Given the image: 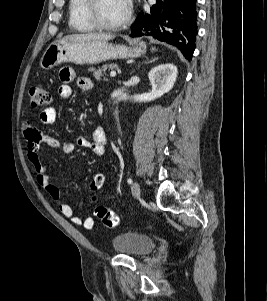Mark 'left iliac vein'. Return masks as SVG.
Segmentation results:
<instances>
[{
  "label": "left iliac vein",
  "mask_w": 267,
  "mask_h": 301,
  "mask_svg": "<svg viewBox=\"0 0 267 301\" xmlns=\"http://www.w3.org/2000/svg\"><path fill=\"white\" fill-rule=\"evenodd\" d=\"M131 191H132V195L135 198H138L140 196V187L139 184L137 182H134L131 186Z\"/></svg>",
  "instance_id": "4c4485c4"
}]
</instances>
